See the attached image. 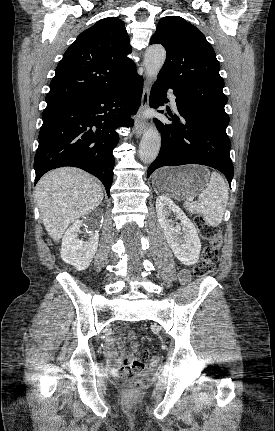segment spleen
I'll return each mask as SVG.
<instances>
[{
	"instance_id": "spleen-1",
	"label": "spleen",
	"mask_w": 275,
	"mask_h": 431,
	"mask_svg": "<svg viewBox=\"0 0 275 431\" xmlns=\"http://www.w3.org/2000/svg\"><path fill=\"white\" fill-rule=\"evenodd\" d=\"M228 198V187L223 177L212 172L210 182L201 191L198 200L187 202L185 208L191 213L201 214L207 224L215 227L222 222Z\"/></svg>"
}]
</instances>
